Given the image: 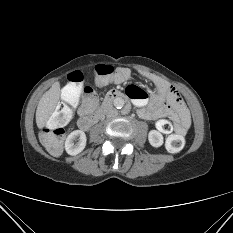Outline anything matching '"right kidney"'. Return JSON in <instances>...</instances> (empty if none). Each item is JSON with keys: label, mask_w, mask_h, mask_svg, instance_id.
<instances>
[{"label": "right kidney", "mask_w": 233, "mask_h": 233, "mask_svg": "<svg viewBox=\"0 0 233 233\" xmlns=\"http://www.w3.org/2000/svg\"><path fill=\"white\" fill-rule=\"evenodd\" d=\"M86 134L81 130L71 132L65 141V150L69 155H77L86 146Z\"/></svg>", "instance_id": "right-kidney-1"}]
</instances>
